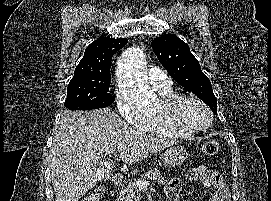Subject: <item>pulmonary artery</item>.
Returning a JSON list of instances; mask_svg holds the SVG:
<instances>
[{
	"instance_id": "pulmonary-artery-1",
	"label": "pulmonary artery",
	"mask_w": 271,
	"mask_h": 201,
	"mask_svg": "<svg viewBox=\"0 0 271 201\" xmlns=\"http://www.w3.org/2000/svg\"><path fill=\"white\" fill-rule=\"evenodd\" d=\"M148 78L151 85L157 89H166L171 86V79L163 70L159 68H150Z\"/></svg>"
}]
</instances>
